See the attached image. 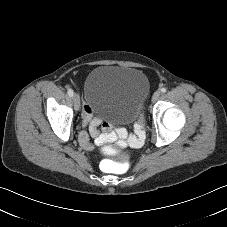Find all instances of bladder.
Instances as JSON below:
<instances>
[{
    "instance_id": "bladder-1",
    "label": "bladder",
    "mask_w": 227,
    "mask_h": 227,
    "mask_svg": "<svg viewBox=\"0 0 227 227\" xmlns=\"http://www.w3.org/2000/svg\"><path fill=\"white\" fill-rule=\"evenodd\" d=\"M148 90L145 75L132 67L100 65L85 82V98L94 114L115 122L137 119Z\"/></svg>"
}]
</instances>
